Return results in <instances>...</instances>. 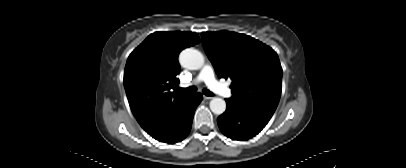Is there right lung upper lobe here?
Instances as JSON below:
<instances>
[{"mask_svg":"<svg viewBox=\"0 0 406 168\" xmlns=\"http://www.w3.org/2000/svg\"><path fill=\"white\" fill-rule=\"evenodd\" d=\"M198 42L194 32H155L128 57L124 87L133 114L147 133L188 97L175 91L179 84L178 55Z\"/></svg>","mask_w":406,"mask_h":168,"instance_id":"right-lung-upper-lobe-1","label":"right lung upper lobe"}]
</instances>
